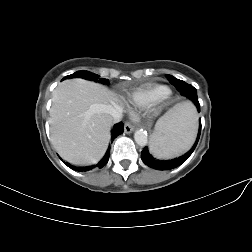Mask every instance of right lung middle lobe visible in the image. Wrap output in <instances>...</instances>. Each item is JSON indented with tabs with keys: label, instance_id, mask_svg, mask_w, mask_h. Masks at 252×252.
Here are the masks:
<instances>
[{
	"label": "right lung middle lobe",
	"instance_id": "dd1d6c3e",
	"mask_svg": "<svg viewBox=\"0 0 252 252\" xmlns=\"http://www.w3.org/2000/svg\"><path fill=\"white\" fill-rule=\"evenodd\" d=\"M70 78H84V79H88V80H95L101 83H106L107 80L103 79V78H99V75L91 73L89 71H77L71 75H68L66 77H64L62 80L64 79H70Z\"/></svg>",
	"mask_w": 252,
	"mask_h": 252
}]
</instances>
